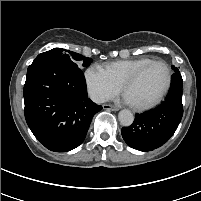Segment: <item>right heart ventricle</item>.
<instances>
[{
	"label": "right heart ventricle",
	"instance_id": "e07e8e85",
	"mask_svg": "<svg viewBox=\"0 0 201 201\" xmlns=\"http://www.w3.org/2000/svg\"><path fill=\"white\" fill-rule=\"evenodd\" d=\"M151 60V58L147 57L129 60H118L106 64L104 69L108 72L115 83L121 87L122 83L128 76H130L135 70Z\"/></svg>",
	"mask_w": 201,
	"mask_h": 201
}]
</instances>
